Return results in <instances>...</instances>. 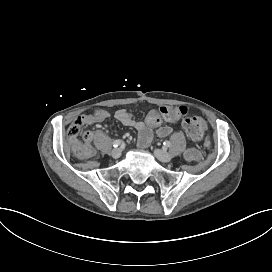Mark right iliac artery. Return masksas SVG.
Masks as SVG:
<instances>
[{
  "mask_svg": "<svg viewBox=\"0 0 272 272\" xmlns=\"http://www.w3.org/2000/svg\"><path fill=\"white\" fill-rule=\"evenodd\" d=\"M121 144H123V141H121V140H115V141L113 142V147H118V146H120Z\"/></svg>",
  "mask_w": 272,
  "mask_h": 272,
  "instance_id": "82829eb1",
  "label": "right iliac artery"
}]
</instances>
